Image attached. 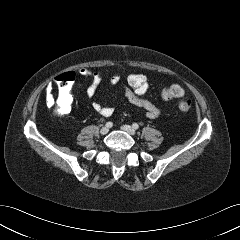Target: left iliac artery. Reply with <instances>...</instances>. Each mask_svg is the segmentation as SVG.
Wrapping results in <instances>:
<instances>
[{
    "instance_id": "obj_1",
    "label": "left iliac artery",
    "mask_w": 240,
    "mask_h": 240,
    "mask_svg": "<svg viewBox=\"0 0 240 240\" xmlns=\"http://www.w3.org/2000/svg\"><path fill=\"white\" fill-rule=\"evenodd\" d=\"M132 126H133L134 129H138L139 128V125L137 123H134Z\"/></svg>"
}]
</instances>
